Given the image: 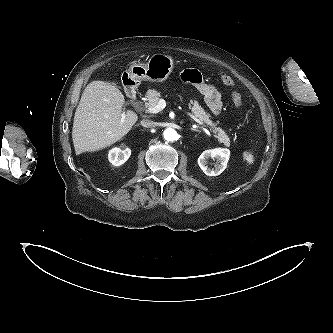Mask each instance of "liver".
Returning <instances> with one entry per match:
<instances>
[{
    "mask_svg": "<svg viewBox=\"0 0 333 333\" xmlns=\"http://www.w3.org/2000/svg\"><path fill=\"white\" fill-rule=\"evenodd\" d=\"M124 102L122 92L111 83L98 80L87 85L74 116L76 154L110 146L131 130L138 115L130 110L123 112Z\"/></svg>",
    "mask_w": 333,
    "mask_h": 333,
    "instance_id": "1",
    "label": "liver"
}]
</instances>
